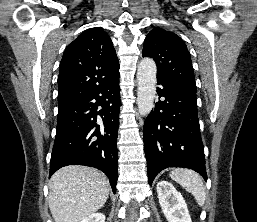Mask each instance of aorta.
Returning a JSON list of instances; mask_svg holds the SVG:
<instances>
[{"label":"aorta","instance_id":"762f6f07","mask_svg":"<svg viewBox=\"0 0 257 222\" xmlns=\"http://www.w3.org/2000/svg\"><path fill=\"white\" fill-rule=\"evenodd\" d=\"M156 64L151 58H144L138 65L137 79V105L140 115L147 116L154 104L156 84Z\"/></svg>","mask_w":257,"mask_h":222}]
</instances>
